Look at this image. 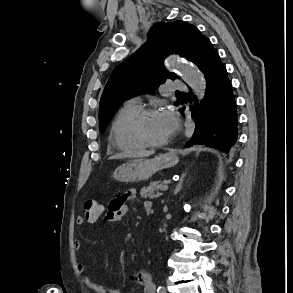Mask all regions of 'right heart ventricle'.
Masks as SVG:
<instances>
[{
  "label": "right heart ventricle",
  "instance_id": "1",
  "mask_svg": "<svg viewBox=\"0 0 293 293\" xmlns=\"http://www.w3.org/2000/svg\"><path fill=\"white\" fill-rule=\"evenodd\" d=\"M140 110L139 105L126 103L117 112L109 136L114 148L126 153H136L146 148L133 132V122Z\"/></svg>",
  "mask_w": 293,
  "mask_h": 293
}]
</instances>
